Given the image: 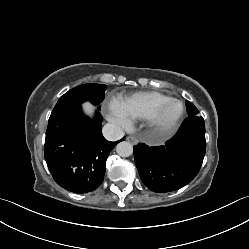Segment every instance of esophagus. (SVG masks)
<instances>
[{
    "label": "esophagus",
    "instance_id": "esophagus-1",
    "mask_svg": "<svg viewBox=\"0 0 249 249\" xmlns=\"http://www.w3.org/2000/svg\"><path fill=\"white\" fill-rule=\"evenodd\" d=\"M126 139H127V141H129L132 144H137L138 143L137 138L134 137V136H128Z\"/></svg>",
    "mask_w": 249,
    "mask_h": 249
}]
</instances>
